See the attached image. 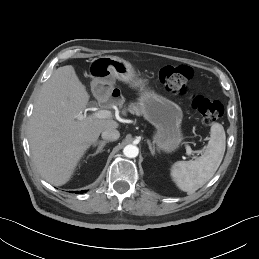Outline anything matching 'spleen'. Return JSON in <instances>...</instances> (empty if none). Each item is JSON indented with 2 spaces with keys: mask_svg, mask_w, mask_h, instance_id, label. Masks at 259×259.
Instances as JSON below:
<instances>
[{
  "mask_svg": "<svg viewBox=\"0 0 259 259\" xmlns=\"http://www.w3.org/2000/svg\"><path fill=\"white\" fill-rule=\"evenodd\" d=\"M225 147L226 135L223 126L219 123L212 124L210 140L204 147L202 156L194 161H177L172 165L171 177L177 187L192 194L205 185L220 166Z\"/></svg>",
  "mask_w": 259,
  "mask_h": 259,
  "instance_id": "1",
  "label": "spleen"
}]
</instances>
